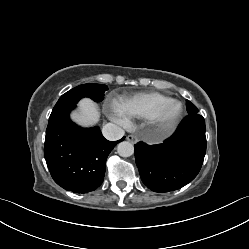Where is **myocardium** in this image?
<instances>
[{"mask_svg": "<svg viewBox=\"0 0 249 249\" xmlns=\"http://www.w3.org/2000/svg\"><path fill=\"white\" fill-rule=\"evenodd\" d=\"M182 112L181 102L172 99L156 109L149 119L160 133H168L175 128Z\"/></svg>", "mask_w": 249, "mask_h": 249, "instance_id": "f54148a6", "label": "myocardium"}]
</instances>
